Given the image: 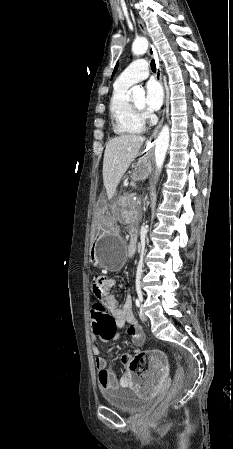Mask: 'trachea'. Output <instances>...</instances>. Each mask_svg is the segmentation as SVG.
<instances>
[{
  "mask_svg": "<svg viewBox=\"0 0 233 449\" xmlns=\"http://www.w3.org/2000/svg\"><path fill=\"white\" fill-rule=\"evenodd\" d=\"M151 69L153 72H156V64H155V60L151 61Z\"/></svg>",
  "mask_w": 233,
  "mask_h": 449,
  "instance_id": "obj_1",
  "label": "trachea"
}]
</instances>
